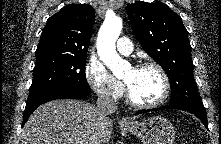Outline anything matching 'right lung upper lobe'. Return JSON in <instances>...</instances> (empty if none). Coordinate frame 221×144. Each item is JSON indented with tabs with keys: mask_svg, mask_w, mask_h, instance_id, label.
Wrapping results in <instances>:
<instances>
[{
	"mask_svg": "<svg viewBox=\"0 0 221 144\" xmlns=\"http://www.w3.org/2000/svg\"><path fill=\"white\" fill-rule=\"evenodd\" d=\"M94 8L88 4H70L47 20L37 46L36 55H87Z\"/></svg>",
	"mask_w": 221,
	"mask_h": 144,
	"instance_id": "1",
	"label": "right lung upper lobe"
}]
</instances>
